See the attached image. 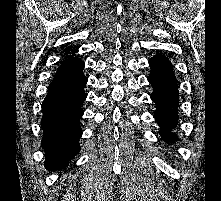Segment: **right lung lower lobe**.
Here are the masks:
<instances>
[{
  "label": "right lung lower lobe",
  "instance_id": "98d812e1",
  "mask_svg": "<svg viewBox=\"0 0 221 201\" xmlns=\"http://www.w3.org/2000/svg\"><path fill=\"white\" fill-rule=\"evenodd\" d=\"M83 68L84 63L80 59L63 61L41 105L44 133L41 143L46 153L47 170H61L80 151L81 104L87 97L84 92L87 78Z\"/></svg>",
  "mask_w": 221,
  "mask_h": 201
}]
</instances>
